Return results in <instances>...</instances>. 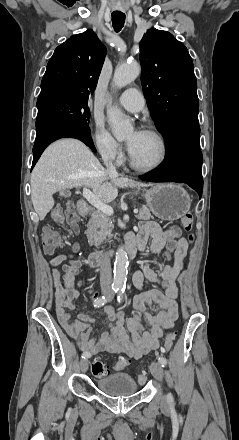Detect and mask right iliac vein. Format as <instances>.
Instances as JSON below:
<instances>
[{
	"label": "right iliac vein",
	"instance_id": "1",
	"mask_svg": "<svg viewBox=\"0 0 239 440\" xmlns=\"http://www.w3.org/2000/svg\"><path fill=\"white\" fill-rule=\"evenodd\" d=\"M80 369L84 373L88 370V359L87 358L81 359V361H80Z\"/></svg>",
	"mask_w": 239,
	"mask_h": 440
}]
</instances>
